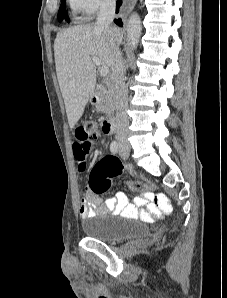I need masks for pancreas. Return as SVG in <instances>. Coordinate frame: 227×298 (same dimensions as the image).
<instances>
[{"label": "pancreas", "instance_id": "1", "mask_svg": "<svg viewBox=\"0 0 227 298\" xmlns=\"http://www.w3.org/2000/svg\"><path fill=\"white\" fill-rule=\"evenodd\" d=\"M97 95L99 98L96 104L97 110L106 115L112 114L115 110V99L109 80L106 79L97 86Z\"/></svg>", "mask_w": 227, "mask_h": 298}]
</instances>
